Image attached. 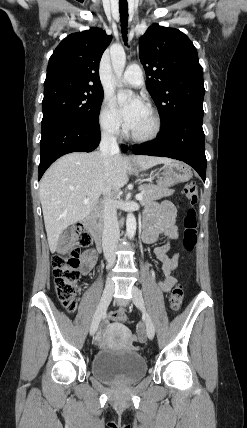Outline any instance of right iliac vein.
<instances>
[{"label":"right iliac vein","instance_id":"right-iliac-vein-1","mask_svg":"<svg viewBox=\"0 0 247 428\" xmlns=\"http://www.w3.org/2000/svg\"><path fill=\"white\" fill-rule=\"evenodd\" d=\"M114 292V283L112 282L111 279H108L102 294V297L100 299V302L98 304L97 310L95 312V315L93 317L91 326H90V334L94 335L95 332L98 329L99 323L103 317V315L105 314L108 305L111 301L112 298V294Z\"/></svg>","mask_w":247,"mask_h":428}]
</instances>
